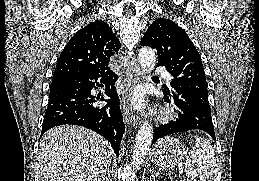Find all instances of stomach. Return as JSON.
<instances>
[{
  "label": "stomach",
  "instance_id": "1",
  "mask_svg": "<svg viewBox=\"0 0 259 181\" xmlns=\"http://www.w3.org/2000/svg\"><path fill=\"white\" fill-rule=\"evenodd\" d=\"M186 153L182 142L173 137H165L155 144L151 161L162 169H172L183 161Z\"/></svg>",
  "mask_w": 259,
  "mask_h": 181
}]
</instances>
